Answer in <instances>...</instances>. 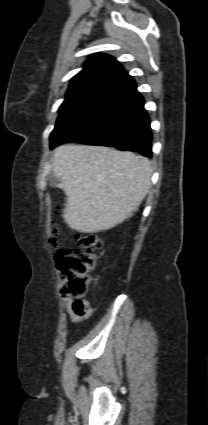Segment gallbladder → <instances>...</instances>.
Returning a JSON list of instances; mask_svg holds the SVG:
<instances>
[{"mask_svg": "<svg viewBox=\"0 0 208 425\" xmlns=\"http://www.w3.org/2000/svg\"><path fill=\"white\" fill-rule=\"evenodd\" d=\"M60 179L56 177L54 174L49 177V185L52 187H57L59 185Z\"/></svg>", "mask_w": 208, "mask_h": 425, "instance_id": "bac80fb5", "label": "gallbladder"}]
</instances>
